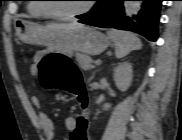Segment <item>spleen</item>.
<instances>
[{"label":"spleen","instance_id":"3e777b00","mask_svg":"<svg viewBox=\"0 0 182 140\" xmlns=\"http://www.w3.org/2000/svg\"><path fill=\"white\" fill-rule=\"evenodd\" d=\"M107 34L115 44V55L117 58H123L131 51L139 50L142 47L141 40L133 33L109 30Z\"/></svg>","mask_w":182,"mask_h":140}]
</instances>
